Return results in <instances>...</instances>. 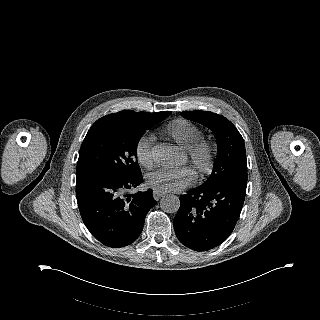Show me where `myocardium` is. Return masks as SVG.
Masks as SVG:
<instances>
[{"instance_id":"f54148a6","label":"myocardium","mask_w":320,"mask_h":320,"mask_svg":"<svg viewBox=\"0 0 320 320\" xmlns=\"http://www.w3.org/2000/svg\"><path fill=\"white\" fill-rule=\"evenodd\" d=\"M184 159L190 162L196 170H206L209 160V146L205 141L197 140L182 148Z\"/></svg>"}]
</instances>
